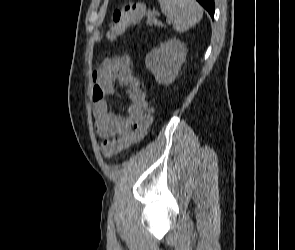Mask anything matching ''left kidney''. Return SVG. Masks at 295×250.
Returning a JSON list of instances; mask_svg holds the SVG:
<instances>
[{"label":"left kidney","instance_id":"left-kidney-1","mask_svg":"<svg viewBox=\"0 0 295 250\" xmlns=\"http://www.w3.org/2000/svg\"><path fill=\"white\" fill-rule=\"evenodd\" d=\"M187 49L178 39H171L160 48L152 50L146 57V67L154 74L159 84L169 85L175 81L184 63Z\"/></svg>","mask_w":295,"mask_h":250}]
</instances>
